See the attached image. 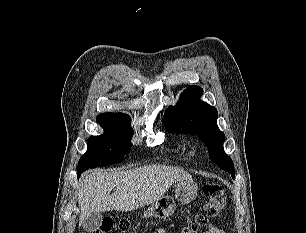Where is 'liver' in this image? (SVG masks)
I'll return each mask as SVG.
<instances>
[{"instance_id": "liver-1", "label": "liver", "mask_w": 306, "mask_h": 233, "mask_svg": "<svg viewBox=\"0 0 306 233\" xmlns=\"http://www.w3.org/2000/svg\"><path fill=\"white\" fill-rule=\"evenodd\" d=\"M181 169L165 165H148L127 171L85 174L79 183V224L92 213L116 210L127 212L152 204L161 198L174 182L190 180ZM113 188L116 191L110 195Z\"/></svg>"}]
</instances>
